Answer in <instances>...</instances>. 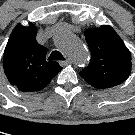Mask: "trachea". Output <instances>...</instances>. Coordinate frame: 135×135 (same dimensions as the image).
Masks as SVG:
<instances>
[{
	"mask_svg": "<svg viewBox=\"0 0 135 135\" xmlns=\"http://www.w3.org/2000/svg\"><path fill=\"white\" fill-rule=\"evenodd\" d=\"M48 60L49 61L65 60V58L59 51H53L51 55L48 57Z\"/></svg>",
	"mask_w": 135,
	"mask_h": 135,
	"instance_id": "obj_1",
	"label": "trachea"
}]
</instances>
